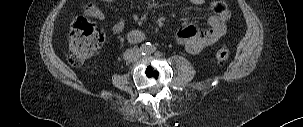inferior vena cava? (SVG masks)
<instances>
[{"instance_id": "obj_1", "label": "inferior vena cava", "mask_w": 303, "mask_h": 127, "mask_svg": "<svg viewBox=\"0 0 303 127\" xmlns=\"http://www.w3.org/2000/svg\"><path fill=\"white\" fill-rule=\"evenodd\" d=\"M139 56H140L139 50L136 48L127 49L123 54L124 60L128 62L136 61L139 58Z\"/></svg>"}]
</instances>
